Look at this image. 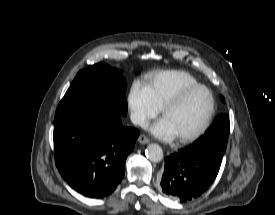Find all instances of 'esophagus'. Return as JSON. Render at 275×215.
Returning a JSON list of instances; mask_svg holds the SVG:
<instances>
[{
    "mask_svg": "<svg viewBox=\"0 0 275 215\" xmlns=\"http://www.w3.org/2000/svg\"><path fill=\"white\" fill-rule=\"evenodd\" d=\"M138 142H139L140 144H147V143L150 142V139H149L147 136H145L144 134H141V135L138 137Z\"/></svg>",
    "mask_w": 275,
    "mask_h": 215,
    "instance_id": "obj_1",
    "label": "esophagus"
}]
</instances>
